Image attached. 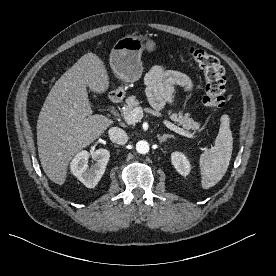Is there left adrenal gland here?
<instances>
[{
  "instance_id": "1",
  "label": "left adrenal gland",
  "mask_w": 276,
  "mask_h": 276,
  "mask_svg": "<svg viewBox=\"0 0 276 276\" xmlns=\"http://www.w3.org/2000/svg\"><path fill=\"white\" fill-rule=\"evenodd\" d=\"M157 137L159 139L160 144H162L163 142H165L168 138H174L173 135H169V134H163L162 136L158 135Z\"/></svg>"
}]
</instances>
